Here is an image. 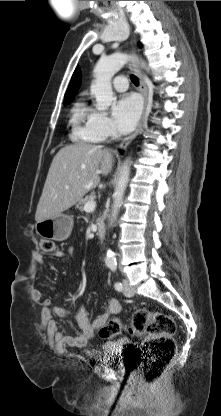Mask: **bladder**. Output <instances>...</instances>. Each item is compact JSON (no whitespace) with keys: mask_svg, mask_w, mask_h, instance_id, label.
Returning a JSON list of instances; mask_svg holds the SVG:
<instances>
[{"mask_svg":"<svg viewBox=\"0 0 221 416\" xmlns=\"http://www.w3.org/2000/svg\"><path fill=\"white\" fill-rule=\"evenodd\" d=\"M114 354L113 352L109 351V347H107L106 345L103 346V353H102V357H101V362L105 365H114L117 369H121L123 368L122 365H116L114 364Z\"/></svg>","mask_w":221,"mask_h":416,"instance_id":"31cf9c89","label":"bladder"}]
</instances>
